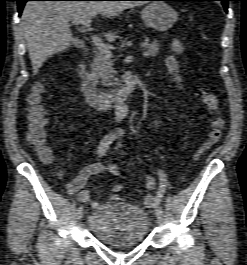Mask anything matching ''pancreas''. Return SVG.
<instances>
[{"label": "pancreas", "mask_w": 247, "mask_h": 265, "mask_svg": "<svg viewBox=\"0 0 247 265\" xmlns=\"http://www.w3.org/2000/svg\"><path fill=\"white\" fill-rule=\"evenodd\" d=\"M160 49V43L154 40L151 44H147L143 53L144 57H155ZM113 62L110 57L105 54L98 53L94 58L93 64V75L96 79H100L102 85L110 86L113 85L115 80V70L113 69Z\"/></svg>", "instance_id": "1"}]
</instances>
